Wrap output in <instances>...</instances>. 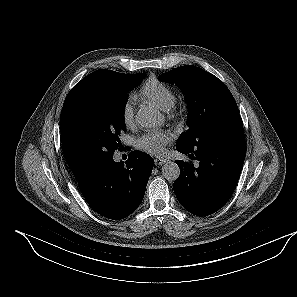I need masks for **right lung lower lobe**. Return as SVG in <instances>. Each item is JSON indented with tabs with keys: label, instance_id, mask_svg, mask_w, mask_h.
Returning <instances> with one entry per match:
<instances>
[{
	"label": "right lung lower lobe",
	"instance_id": "98d812e1",
	"mask_svg": "<svg viewBox=\"0 0 297 297\" xmlns=\"http://www.w3.org/2000/svg\"><path fill=\"white\" fill-rule=\"evenodd\" d=\"M153 166L148 154L136 150L129 153L125 163L115 162L112 156L90 166L77 181L93 210L108 219L120 220L142 202Z\"/></svg>",
	"mask_w": 297,
	"mask_h": 297
}]
</instances>
